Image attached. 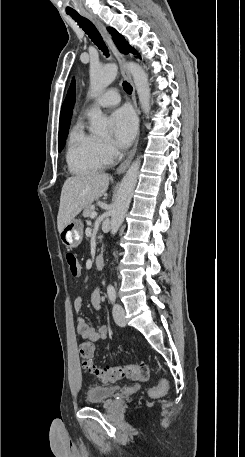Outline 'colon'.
I'll list each match as a JSON object with an SVG mask.
<instances>
[{
	"instance_id": "5ec220e1",
	"label": "colon",
	"mask_w": 245,
	"mask_h": 457,
	"mask_svg": "<svg viewBox=\"0 0 245 457\" xmlns=\"http://www.w3.org/2000/svg\"><path fill=\"white\" fill-rule=\"evenodd\" d=\"M66 262L70 274L73 277H78L81 273V267L77 256L72 252H68L66 254ZM94 351L95 345L92 341L87 340L79 345V355L83 368L104 382H116L124 378L146 381L149 378V368L145 364H127L99 368L93 362ZM167 388V382L162 380L157 387L150 390V393L152 395H161Z\"/></svg>"
}]
</instances>
